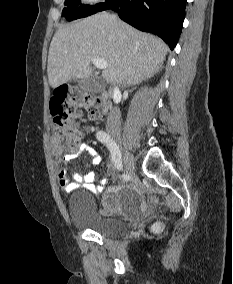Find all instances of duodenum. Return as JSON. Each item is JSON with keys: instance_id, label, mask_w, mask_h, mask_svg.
Masks as SVG:
<instances>
[{"instance_id": "410a0bca", "label": "duodenum", "mask_w": 233, "mask_h": 284, "mask_svg": "<svg viewBox=\"0 0 233 284\" xmlns=\"http://www.w3.org/2000/svg\"><path fill=\"white\" fill-rule=\"evenodd\" d=\"M106 97H107V94H106V93H103V94H102V98H103V100H105V99H106Z\"/></svg>"}]
</instances>
